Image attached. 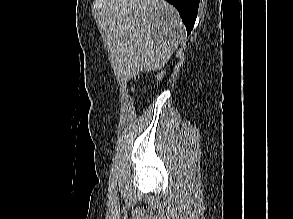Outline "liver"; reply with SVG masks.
<instances>
[{
    "label": "liver",
    "instance_id": "1",
    "mask_svg": "<svg viewBox=\"0 0 293 219\" xmlns=\"http://www.w3.org/2000/svg\"><path fill=\"white\" fill-rule=\"evenodd\" d=\"M100 16L101 35L124 81L161 69L185 32L179 13L165 0H103Z\"/></svg>",
    "mask_w": 293,
    "mask_h": 219
}]
</instances>
